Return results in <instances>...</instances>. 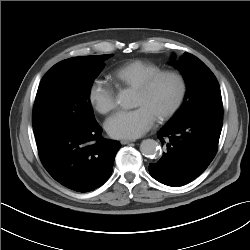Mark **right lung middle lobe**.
Segmentation results:
<instances>
[{"mask_svg":"<svg viewBox=\"0 0 250 250\" xmlns=\"http://www.w3.org/2000/svg\"><path fill=\"white\" fill-rule=\"evenodd\" d=\"M112 55L57 63L42 78L33 108L34 135L89 129L97 124L90 103L94 79Z\"/></svg>","mask_w":250,"mask_h":250,"instance_id":"1","label":"right lung middle lobe"}]
</instances>
